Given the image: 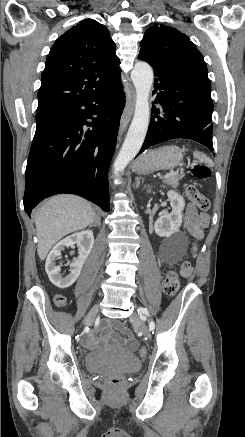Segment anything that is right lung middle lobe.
<instances>
[{
	"label": "right lung middle lobe",
	"mask_w": 245,
	"mask_h": 437,
	"mask_svg": "<svg viewBox=\"0 0 245 437\" xmlns=\"http://www.w3.org/2000/svg\"><path fill=\"white\" fill-rule=\"evenodd\" d=\"M49 111L50 110L37 112L36 121H39L40 119H42Z\"/></svg>",
	"instance_id": "1"
}]
</instances>
